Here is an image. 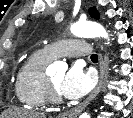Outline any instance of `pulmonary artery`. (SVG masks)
Masks as SVG:
<instances>
[{
  "mask_svg": "<svg viewBox=\"0 0 133 118\" xmlns=\"http://www.w3.org/2000/svg\"><path fill=\"white\" fill-rule=\"evenodd\" d=\"M43 51L52 59L57 57L90 56L91 46L81 39H67L46 45Z\"/></svg>",
  "mask_w": 133,
  "mask_h": 118,
  "instance_id": "obj_1",
  "label": "pulmonary artery"
}]
</instances>
